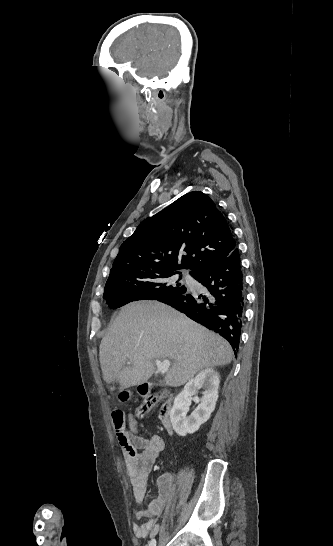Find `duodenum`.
<instances>
[{
	"label": "duodenum",
	"instance_id": "duodenum-1",
	"mask_svg": "<svg viewBox=\"0 0 333 546\" xmlns=\"http://www.w3.org/2000/svg\"><path fill=\"white\" fill-rule=\"evenodd\" d=\"M141 391L146 396L152 395V388L147 384H144L141 386ZM171 400H172V395H170L169 398L162 404L159 411V419L168 433H171L172 431V423L170 419V413H171V407H172Z\"/></svg>",
	"mask_w": 333,
	"mask_h": 546
}]
</instances>
